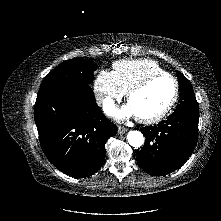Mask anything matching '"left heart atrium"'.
Segmentation results:
<instances>
[{
	"instance_id": "obj_1",
	"label": "left heart atrium",
	"mask_w": 221,
	"mask_h": 221,
	"mask_svg": "<svg viewBox=\"0 0 221 221\" xmlns=\"http://www.w3.org/2000/svg\"><path fill=\"white\" fill-rule=\"evenodd\" d=\"M107 112L111 115H114L118 119L129 118L136 116L131 106L128 104L121 109H115L113 106H107Z\"/></svg>"
}]
</instances>
